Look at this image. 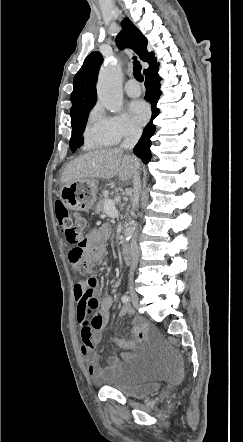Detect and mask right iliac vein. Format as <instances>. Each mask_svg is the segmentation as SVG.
<instances>
[{"mask_svg": "<svg viewBox=\"0 0 243 442\" xmlns=\"http://www.w3.org/2000/svg\"><path fill=\"white\" fill-rule=\"evenodd\" d=\"M128 293L130 295V299H131L132 303L135 306H137L138 302H139V297H138V294L136 293L133 285L129 286Z\"/></svg>", "mask_w": 243, "mask_h": 442, "instance_id": "right-iliac-vein-1", "label": "right iliac vein"}]
</instances>
